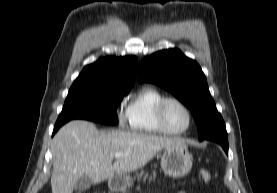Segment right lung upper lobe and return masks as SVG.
<instances>
[{
	"mask_svg": "<svg viewBox=\"0 0 277 193\" xmlns=\"http://www.w3.org/2000/svg\"><path fill=\"white\" fill-rule=\"evenodd\" d=\"M137 64L135 56L101 58L86 66L70 89L129 91L136 79Z\"/></svg>",
	"mask_w": 277,
	"mask_h": 193,
	"instance_id": "1",
	"label": "right lung upper lobe"
}]
</instances>
